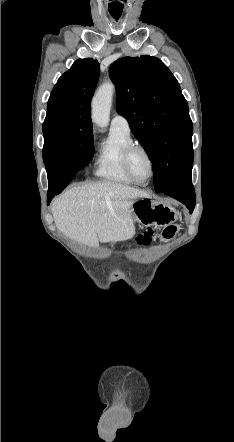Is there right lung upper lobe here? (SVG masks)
<instances>
[{
    "label": "right lung upper lobe",
    "instance_id": "right-lung-upper-lobe-1",
    "mask_svg": "<svg viewBox=\"0 0 234 442\" xmlns=\"http://www.w3.org/2000/svg\"><path fill=\"white\" fill-rule=\"evenodd\" d=\"M99 73L97 60L86 58L75 61L54 86L48 100L46 119L71 118L92 128L90 103Z\"/></svg>",
    "mask_w": 234,
    "mask_h": 442
}]
</instances>
